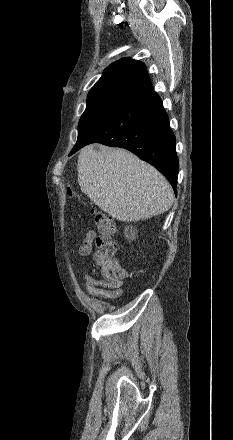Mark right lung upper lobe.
<instances>
[{
  "mask_svg": "<svg viewBox=\"0 0 233 440\" xmlns=\"http://www.w3.org/2000/svg\"><path fill=\"white\" fill-rule=\"evenodd\" d=\"M152 91L143 63L127 58L112 63L91 88L88 102L111 101L127 104Z\"/></svg>",
  "mask_w": 233,
  "mask_h": 440,
  "instance_id": "1",
  "label": "right lung upper lobe"
}]
</instances>
